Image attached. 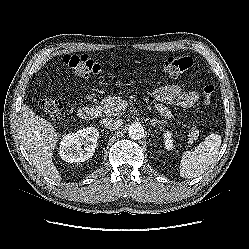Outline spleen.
Masks as SVG:
<instances>
[{"instance_id": "3e777b00", "label": "spleen", "mask_w": 249, "mask_h": 249, "mask_svg": "<svg viewBox=\"0 0 249 249\" xmlns=\"http://www.w3.org/2000/svg\"><path fill=\"white\" fill-rule=\"evenodd\" d=\"M221 145V136L211 134L194 151L184 152L180 164V176L195 178L202 175L215 161Z\"/></svg>"}]
</instances>
